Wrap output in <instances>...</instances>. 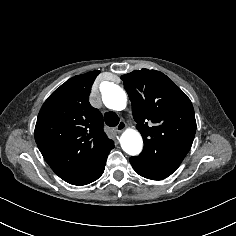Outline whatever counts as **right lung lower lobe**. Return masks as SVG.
Wrapping results in <instances>:
<instances>
[{
    "mask_svg": "<svg viewBox=\"0 0 236 236\" xmlns=\"http://www.w3.org/2000/svg\"><path fill=\"white\" fill-rule=\"evenodd\" d=\"M108 154L92 170L82 172V173H76V174H68V175H64V176H60V177L64 181H66L72 185L80 186V185L89 184V183L97 180L103 174Z\"/></svg>",
    "mask_w": 236,
    "mask_h": 236,
    "instance_id": "right-lung-lower-lobe-1",
    "label": "right lung lower lobe"
}]
</instances>
